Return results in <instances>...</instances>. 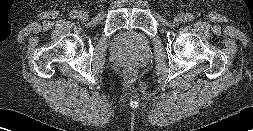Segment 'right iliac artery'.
I'll return each instance as SVG.
<instances>
[{
    "mask_svg": "<svg viewBox=\"0 0 253 131\" xmlns=\"http://www.w3.org/2000/svg\"><path fill=\"white\" fill-rule=\"evenodd\" d=\"M70 17H71V18H76V17H78V12H77V11H71V12H70Z\"/></svg>",
    "mask_w": 253,
    "mask_h": 131,
    "instance_id": "1",
    "label": "right iliac artery"
}]
</instances>
